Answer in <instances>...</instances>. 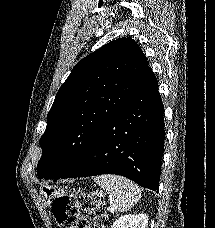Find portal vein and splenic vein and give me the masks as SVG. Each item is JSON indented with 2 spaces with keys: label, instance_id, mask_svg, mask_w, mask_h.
Segmentation results:
<instances>
[{
  "label": "portal vein and splenic vein",
  "instance_id": "portal-vein-and-splenic-vein-1",
  "mask_svg": "<svg viewBox=\"0 0 215 228\" xmlns=\"http://www.w3.org/2000/svg\"><path fill=\"white\" fill-rule=\"evenodd\" d=\"M109 210H110V212H112V214H114L115 210H114V208H112V206H110Z\"/></svg>",
  "mask_w": 215,
  "mask_h": 228
}]
</instances>
